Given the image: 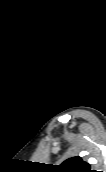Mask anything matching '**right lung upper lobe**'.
Listing matches in <instances>:
<instances>
[{"label":"right lung upper lobe","instance_id":"obj_1","mask_svg":"<svg viewBox=\"0 0 106 172\" xmlns=\"http://www.w3.org/2000/svg\"><path fill=\"white\" fill-rule=\"evenodd\" d=\"M55 172H95L90 170V165L80 157H72L64 161L61 165H56Z\"/></svg>","mask_w":106,"mask_h":172}]
</instances>
